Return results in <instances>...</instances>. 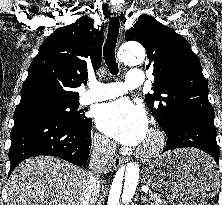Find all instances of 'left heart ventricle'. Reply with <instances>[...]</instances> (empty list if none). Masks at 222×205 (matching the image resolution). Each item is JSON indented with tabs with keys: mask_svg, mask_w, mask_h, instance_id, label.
<instances>
[{
	"mask_svg": "<svg viewBox=\"0 0 222 205\" xmlns=\"http://www.w3.org/2000/svg\"><path fill=\"white\" fill-rule=\"evenodd\" d=\"M149 139L150 138H149V133H148V135H147L146 139L144 140L143 144L148 143Z\"/></svg>",
	"mask_w": 222,
	"mask_h": 205,
	"instance_id": "1",
	"label": "left heart ventricle"
}]
</instances>
